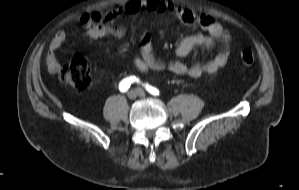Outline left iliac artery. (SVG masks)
<instances>
[{
	"mask_svg": "<svg viewBox=\"0 0 299 190\" xmlns=\"http://www.w3.org/2000/svg\"><path fill=\"white\" fill-rule=\"evenodd\" d=\"M145 88H146V90H147L149 93H151V94H153V95H158V94H159L158 89H156V88L153 87V86H150V85L146 84V85H145Z\"/></svg>",
	"mask_w": 299,
	"mask_h": 190,
	"instance_id": "left-iliac-artery-1",
	"label": "left iliac artery"
}]
</instances>
